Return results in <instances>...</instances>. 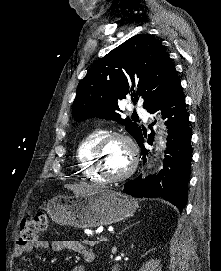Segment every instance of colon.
I'll return each mask as SVG.
<instances>
[{"label": "colon", "mask_w": 221, "mask_h": 271, "mask_svg": "<svg viewBox=\"0 0 221 271\" xmlns=\"http://www.w3.org/2000/svg\"><path fill=\"white\" fill-rule=\"evenodd\" d=\"M49 227V220L44 211L38 212L33 218L24 220L22 228L19 231L17 243L24 247L34 241L41 233H44Z\"/></svg>", "instance_id": "obj_1"}]
</instances>
